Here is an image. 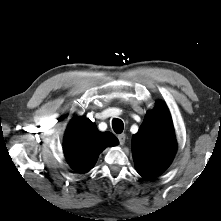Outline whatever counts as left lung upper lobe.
<instances>
[{
    "mask_svg": "<svg viewBox=\"0 0 221 221\" xmlns=\"http://www.w3.org/2000/svg\"><path fill=\"white\" fill-rule=\"evenodd\" d=\"M176 139L167 107L158 102L132 137V154L137 172L146 179L160 175L172 162Z\"/></svg>",
    "mask_w": 221,
    "mask_h": 221,
    "instance_id": "obj_1",
    "label": "left lung upper lobe"
}]
</instances>
